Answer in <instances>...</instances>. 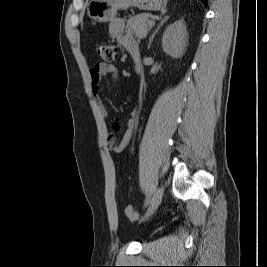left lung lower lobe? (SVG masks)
Wrapping results in <instances>:
<instances>
[{
    "label": "left lung lower lobe",
    "instance_id": "obj_1",
    "mask_svg": "<svg viewBox=\"0 0 267 267\" xmlns=\"http://www.w3.org/2000/svg\"><path fill=\"white\" fill-rule=\"evenodd\" d=\"M205 5H207V0H201Z\"/></svg>",
    "mask_w": 267,
    "mask_h": 267
}]
</instances>
